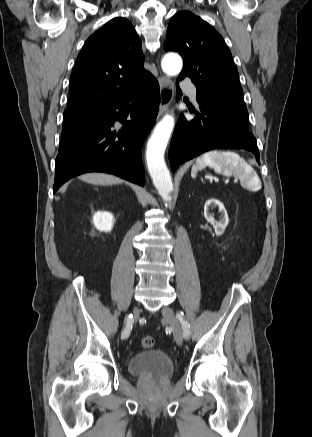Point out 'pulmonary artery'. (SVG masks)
<instances>
[{"instance_id": "obj_1", "label": "pulmonary artery", "mask_w": 312, "mask_h": 437, "mask_svg": "<svg viewBox=\"0 0 312 437\" xmlns=\"http://www.w3.org/2000/svg\"><path fill=\"white\" fill-rule=\"evenodd\" d=\"M181 86L184 88V89H186L188 92H189V94H190V96L192 97V99L194 100V101H196V94H197V90H196V88L194 87V86H192L188 81H186V80H182L181 81Z\"/></svg>"}]
</instances>
